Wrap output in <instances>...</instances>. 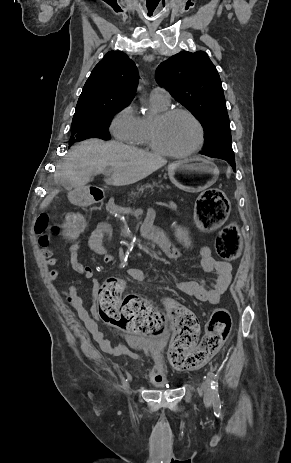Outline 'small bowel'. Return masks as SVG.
<instances>
[{
	"mask_svg": "<svg viewBox=\"0 0 291 463\" xmlns=\"http://www.w3.org/2000/svg\"><path fill=\"white\" fill-rule=\"evenodd\" d=\"M153 214L146 217L141 233L139 234L141 243L147 246H159L164 253L171 258H178L192 249V242L187 228L182 225L174 224L171 229L177 238L179 245L170 244L168 233L161 231L159 226H149L153 222ZM111 235L110 225L105 221H100L92 231L88 245L92 251L100 255L105 263L114 261L113 254L107 249L105 243ZM146 237V238H145ZM39 244L42 248V256L45 260V266L49 269L46 277L49 281L58 279L62 275V270L57 267L59 260L53 255V250L49 246V235L39 236ZM81 245L74 242L69 247V257L72 269L82 278L92 280L93 288L96 294L98 289V280L94 276L92 268L85 265L79 259ZM200 269L202 273H216V278L208 281L203 276L198 280L181 281L176 283V287L184 294L191 296L199 301L212 305L218 304L221 295L227 290L232 281V267L229 263L219 261L213 258L211 250L204 246L200 249ZM131 278L137 281H161L171 282L166 277H157L145 273L142 269L132 268L128 270ZM70 306L74 309L78 317L83 321L87 330L99 344L101 350L113 356L125 355V349L113 346L106 340L98 329L96 321L90 316L89 311L84 305L82 297L79 295L78 287L74 284L61 291Z\"/></svg>",
	"mask_w": 291,
	"mask_h": 463,
	"instance_id": "obj_1",
	"label": "small bowel"
}]
</instances>
